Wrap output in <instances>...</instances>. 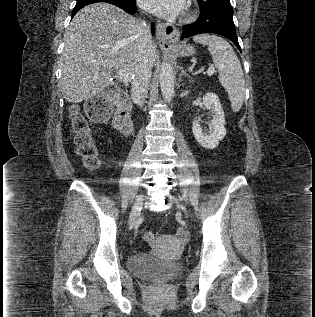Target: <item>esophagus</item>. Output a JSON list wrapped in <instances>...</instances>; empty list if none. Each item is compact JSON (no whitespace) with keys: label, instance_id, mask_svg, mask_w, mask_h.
I'll use <instances>...</instances> for the list:
<instances>
[{"label":"esophagus","instance_id":"1","mask_svg":"<svg viewBox=\"0 0 315 317\" xmlns=\"http://www.w3.org/2000/svg\"><path fill=\"white\" fill-rule=\"evenodd\" d=\"M180 33L173 25L158 23L156 26V38L163 49L171 48L179 39Z\"/></svg>","mask_w":315,"mask_h":317}]
</instances>
